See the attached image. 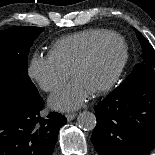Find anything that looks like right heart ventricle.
I'll return each mask as SVG.
<instances>
[{
  "mask_svg": "<svg viewBox=\"0 0 155 155\" xmlns=\"http://www.w3.org/2000/svg\"><path fill=\"white\" fill-rule=\"evenodd\" d=\"M111 33L113 31L107 29H86L63 36L52 44L50 55L58 64L71 73L75 65L92 46Z\"/></svg>",
  "mask_w": 155,
  "mask_h": 155,
  "instance_id": "right-heart-ventricle-1",
  "label": "right heart ventricle"
}]
</instances>
